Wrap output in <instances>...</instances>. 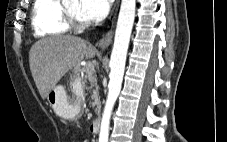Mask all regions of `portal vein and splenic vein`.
<instances>
[{"instance_id":"1","label":"portal vein and splenic vein","mask_w":227,"mask_h":142,"mask_svg":"<svg viewBox=\"0 0 227 142\" xmlns=\"http://www.w3.org/2000/svg\"><path fill=\"white\" fill-rule=\"evenodd\" d=\"M86 73H87L89 76L93 74L92 71H89V70H87Z\"/></svg>"}]
</instances>
